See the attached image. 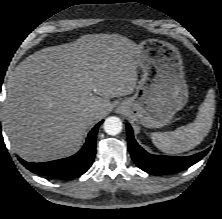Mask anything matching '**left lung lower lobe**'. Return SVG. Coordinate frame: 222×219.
Masks as SVG:
<instances>
[{"label": "left lung lower lobe", "instance_id": "1", "mask_svg": "<svg viewBox=\"0 0 222 219\" xmlns=\"http://www.w3.org/2000/svg\"><path fill=\"white\" fill-rule=\"evenodd\" d=\"M197 48L203 53L200 47L197 46ZM126 127L128 131V149L131 157L134 163L147 173L169 174L185 170L201 160L208 152V150H205L188 157L152 155L146 152L135 141L130 125Z\"/></svg>", "mask_w": 222, "mask_h": 219}]
</instances>
